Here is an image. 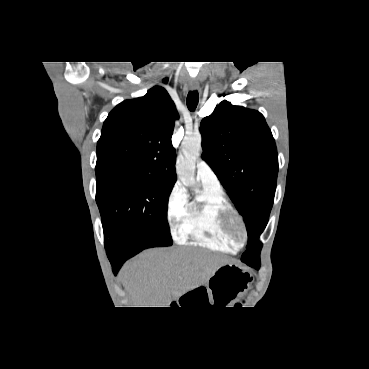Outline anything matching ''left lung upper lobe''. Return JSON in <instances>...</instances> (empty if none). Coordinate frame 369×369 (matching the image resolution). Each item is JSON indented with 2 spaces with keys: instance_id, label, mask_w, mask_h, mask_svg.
Segmentation results:
<instances>
[{
  "instance_id": "1",
  "label": "left lung upper lobe",
  "mask_w": 369,
  "mask_h": 369,
  "mask_svg": "<svg viewBox=\"0 0 369 369\" xmlns=\"http://www.w3.org/2000/svg\"><path fill=\"white\" fill-rule=\"evenodd\" d=\"M203 159L213 169L243 216L248 244L241 261L260 266L265 229L278 173L274 138L261 113L224 100L200 126Z\"/></svg>"
}]
</instances>
